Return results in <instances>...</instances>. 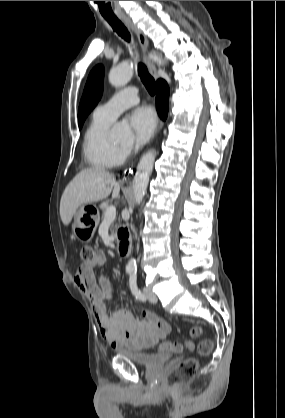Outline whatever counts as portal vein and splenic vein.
I'll return each mask as SVG.
<instances>
[{"instance_id":"1","label":"portal vein and splenic vein","mask_w":285,"mask_h":418,"mask_svg":"<svg viewBox=\"0 0 285 418\" xmlns=\"http://www.w3.org/2000/svg\"><path fill=\"white\" fill-rule=\"evenodd\" d=\"M116 218V207L111 205L107 208L104 216V222H112Z\"/></svg>"}]
</instances>
